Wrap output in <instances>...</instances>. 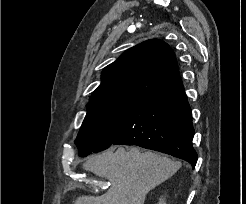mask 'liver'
Returning a JSON list of instances; mask_svg holds the SVG:
<instances>
[{
    "label": "liver",
    "instance_id": "liver-1",
    "mask_svg": "<svg viewBox=\"0 0 246 204\" xmlns=\"http://www.w3.org/2000/svg\"><path fill=\"white\" fill-rule=\"evenodd\" d=\"M181 163L137 147H119L89 158L83 168L111 182L101 196H79L74 204H144L147 193L169 179Z\"/></svg>",
    "mask_w": 246,
    "mask_h": 204
}]
</instances>
